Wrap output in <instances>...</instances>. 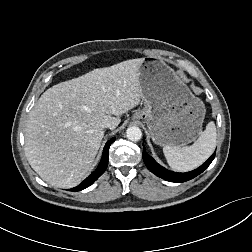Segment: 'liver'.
<instances>
[{
    "mask_svg": "<svg viewBox=\"0 0 252 252\" xmlns=\"http://www.w3.org/2000/svg\"><path fill=\"white\" fill-rule=\"evenodd\" d=\"M142 58L98 68L47 89L29 113L25 154L33 170L59 188L79 184L92 167L109 121L115 129L141 99Z\"/></svg>",
    "mask_w": 252,
    "mask_h": 252,
    "instance_id": "liver-1",
    "label": "liver"
}]
</instances>
